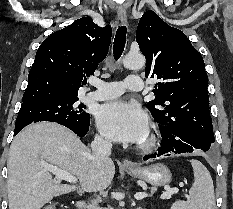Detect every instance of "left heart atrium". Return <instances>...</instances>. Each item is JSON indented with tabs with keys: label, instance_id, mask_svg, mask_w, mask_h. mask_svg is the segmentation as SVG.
I'll use <instances>...</instances> for the list:
<instances>
[{
	"label": "left heart atrium",
	"instance_id": "obj_1",
	"mask_svg": "<svg viewBox=\"0 0 233 209\" xmlns=\"http://www.w3.org/2000/svg\"><path fill=\"white\" fill-rule=\"evenodd\" d=\"M96 122L106 137L119 142H140L148 132L147 116L140 106L122 100L101 105Z\"/></svg>",
	"mask_w": 233,
	"mask_h": 209
}]
</instances>
